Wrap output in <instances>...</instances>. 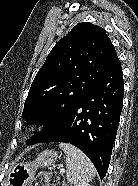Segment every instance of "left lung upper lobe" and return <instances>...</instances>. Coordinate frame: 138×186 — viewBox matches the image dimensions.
<instances>
[{"instance_id":"5c2ea615","label":"left lung upper lobe","mask_w":138,"mask_h":186,"mask_svg":"<svg viewBox=\"0 0 138 186\" xmlns=\"http://www.w3.org/2000/svg\"><path fill=\"white\" fill-rule=\"evenodd\" d=\"M117 62L103 28L89 22L74 26L53 47L31 84L22 118L44 128L28 144L56 131Z\"/></svg>"}]
</instances>
